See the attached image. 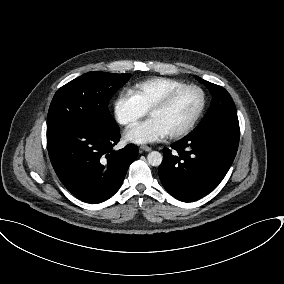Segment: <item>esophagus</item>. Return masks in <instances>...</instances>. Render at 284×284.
I'll return each mask as SVG.
<instances>
[{"label": "esophagus", "instance_id": "34e87169", "mask_svg": "<svg viewBox=\"0 0 284 284\" xmlns=\"http://www.w3.org/2000/svg\"><path fill=\"white\" fill-rule=\"evenodd\" d=\"M140 148H141L142 150L146 151V152L151 151V147H149V146H147V145H142V146H140Z\"/></svg>", "mask_w": 284, "mask_h": 284}]
</instances>
